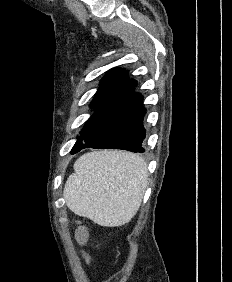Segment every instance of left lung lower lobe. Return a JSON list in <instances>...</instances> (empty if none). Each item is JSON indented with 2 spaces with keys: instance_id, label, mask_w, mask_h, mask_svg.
Returning a JSON list of instances; mask_svg holds the SVG:
<instances>
[{
  "instance_id": "obj_1",
  "label": "left lung lower lobe",
  "mask_w": 232,
  "mask_h": 282,
  "mask_svg": "<svg viewBox=\"0 0 232 282\" xmlns=\"http://www.w3.org/2000/svg\"><path fill=\"white\" fill-rule=\"evenodd\" d=\"M136 81L129 79L110 99L99 115L94 131L83 144L74 145L71 154L84 148L122 149L144 152L143 96L134 92Z\"/></svg>"
}]
</instances>
